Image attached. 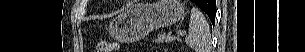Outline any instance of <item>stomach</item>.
<instances>
[{"instance_id":"0dacf381","label":"stomach","mask_w":305,"mask_h":52,"mask_svg":"<svg viewBox=\"0 0 305 52\" xmlns=\"http://www.w3.org/2000/svg\"><path fill=\"white\" fill-rule=\"evenodd\" d=\"M185 13L179 0L135 3L110 22V35L121 42H134L154 29L178 22Z\"/></svg>"}]
</instances>
